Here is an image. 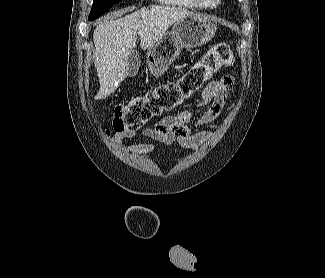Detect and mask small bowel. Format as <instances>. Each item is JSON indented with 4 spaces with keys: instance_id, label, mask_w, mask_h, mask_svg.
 Here are the masks:
<instances>
[{
    "instance_id": "1",
    "label": "small bowel",
    "mask_w": 325,
    "mask_h": 278,
    "mask_svg": "<svg viewBox=\"0 0 325 278\" xmlns=\"http://www.w3.org/2000/svg\"><path fill=\"white\" fill-rule=\"evenodd\" d=\"M235 79L231 76L210 81L202 90L197 102V108L206 110L196 116L194 111L166 117L158 121L153 127L142 130H127L116 133L118 141L140 135L154 139L164 145L176 142L183 149H197L201 147L212 135L210 131L192 133L193 128L202 127L213 122L224 109L229 91L234 87ZM133 154L145 155L155 150L153 144L138 143L128 146Z\"/></svg>"
}]
</instances>
